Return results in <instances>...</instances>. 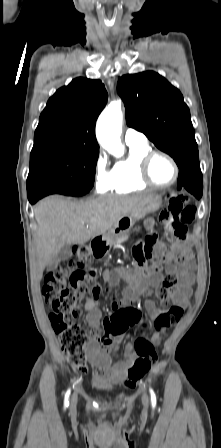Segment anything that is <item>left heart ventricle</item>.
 Returning <instances> with one entry per match:
<instances>
[{"label":"left heart ventricle","instance_id":"left-heart-ventricle-1","mask_svg":"<svg viewBox=\"0 0 221 448\" xmlns=\"http://www.w3.org/2000/svg\"><path fill=\"white\" fill-rule=\"evenodd\" d=\"M151 175L159 184L171 182L175 176V169L168 159L157 156L151 165Z\"/></svg>","mask_w":221,"mask_h":448}]
</instances>
